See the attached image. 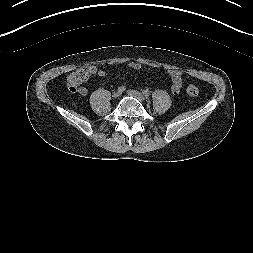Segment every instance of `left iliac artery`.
<instances>
[{
	"label": "left iliac artery",
	"mask_w": 253,
	"mask_h": 253,
	"mask_svg": "<svg viewBox=\"0 0 253 253\" xmlns=\"http://www.w3.org/2000/svg\"><path fill=\"white\" fill-rule=\"evenodd\" d=\"M142 93H143L144 96H149L150 95V92L148 90H143Z\"/></svg>",
	"instance_id": "44dca946"
}]
</instances>
